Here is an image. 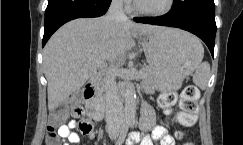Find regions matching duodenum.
Wrapping results in <instances>:
<instances>
[{"label": "duodenum", "mask_w": 243, "mask_h": 145, "mask_svg": "<svg viewBox=\"0 0 243 145\" xmlns=\"http://www.w3.org/2000/svg\"><path fill=\"white\" fill-rule=\"evenodd\" d=\"M103 70H96L87 84L84 87V101L87 110V114L92 119L99 121L103 118L108 102L107 100L101 98L96 91V82L101 76ZM125 95L124 87H120L118 92V99L123 100Z\"/></svg>", "instance_id": "obj_1"}]
</instances>
